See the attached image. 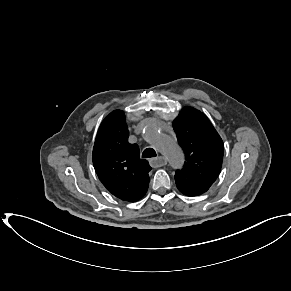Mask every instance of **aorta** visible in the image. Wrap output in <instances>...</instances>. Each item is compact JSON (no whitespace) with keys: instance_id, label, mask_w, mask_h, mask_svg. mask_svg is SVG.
<instances>
[{"instance_id":"obj_1","label":"aorta","mask_w":291,"mask_h":291,"mask_svg":"<svg viewBox=\"0 0 291 291\" xmlns=\"http://www.w3.org/2000/svg\"><path fill=\"white\" fill-rule=\"evenodd\" d=\"M145 137L157 148V150L169 159L172 166H182L184 162L183 152L172 138L162 135L158 129L153 126H149L146 129Z\"/></svg>"}]
</instances>
